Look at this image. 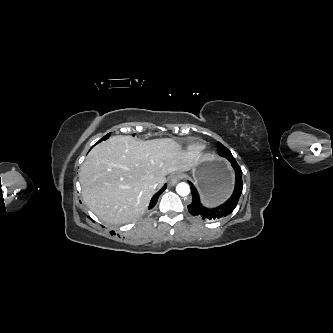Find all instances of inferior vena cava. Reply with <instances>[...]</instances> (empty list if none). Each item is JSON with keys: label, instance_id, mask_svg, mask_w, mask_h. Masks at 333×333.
I'll list each match as a JSON object with an SVG mask.
<instances>
[{"label": "inferior vena cava", "instance_id": "inferior-vena-cava-1", "mask_svg": "<svg viewBox=\"0 0 333 333\" xmlns=\"http://www.w3.org/2000/svg\"><path fill=\"white\" fill-rule=\"evenodd\" d=\"M157 187H158V184H157V183H155V184L152 185V188H153V189H156Z\"/></svg>", "mask_w": 333, "mask_h": 333}]
</instances>
